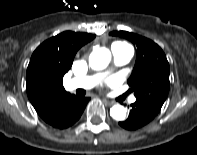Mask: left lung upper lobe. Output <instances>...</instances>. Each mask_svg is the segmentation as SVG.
Masks as SVG:
<instances>
[{"instance_id": "1", "label": "left lung upper lobe", "mask_w": 197, "mask_h": 155, "mask_svg": "<svg viewBox=\"0 0 197 155\" xmlns=\"http://www.w3.org/2000/svg\"><path fill=\"white\" fill-rule=\"evenodd\" d=\"M110 35L123 37L136 45V63L128 84L136 101L159 112L170 87V68L163 50L153 41L135 33L113 31Z\"/></svg>"}]
</instances>
